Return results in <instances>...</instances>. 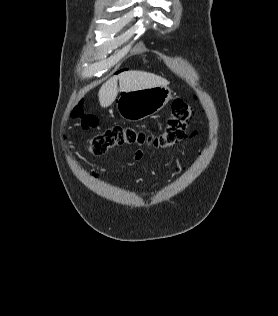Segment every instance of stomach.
Segmentation results:
<instances>
[{"instance_id": "obj_1", "label": "stomach", "mask_w": 278, "mask_h": 316, "mask_svg": "<svg viewBox=\"0 0 278 316\" xmlns=\"http://www.w3.org/2000/svg\"><path fill=\"white\" fill-rule=\"evenodd\" d=\"M171 99L167 86L125 92L119 97L117 110L126 120L138 121L160 111Z\"/></svg>"}]
</instances>
